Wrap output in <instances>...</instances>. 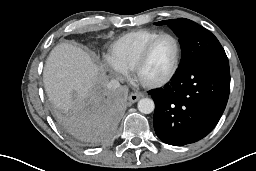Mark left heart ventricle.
Segmentation results:
<instances>
[{"label":"left heart ventricle","mask_w":256,"mask_h":171,"mask_svg":"<svg viewBox=\"0 0 256 171\" xmlns=\"http://www.w3.org/2000/svg\"><path fill=\"white\" fill-rule=\"evenodd\" d=\"M176 53L174 41L165 37L154 46L147 62L141 70V78L154 81L164 77L171 69Z\"/></svg>","instance_id":"b2bd125f"}]
</instances>
